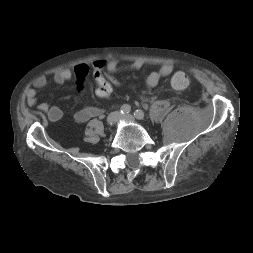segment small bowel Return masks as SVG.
I'll return each instance as SVG.
<instances>
[{
  "mask_svg": "<svg viewBox=\"0 0 253 253\" xmlns=\"http://www.w3.org/2000/svg\"><path fill=\"white\" fill-rule=\"evenodd\" d=\"M144 63L141 60H135L133 62L122 64L116 59H112L106 62L107 70L112 74H117L123 71L139 70L143 67ZM173 72V65L170 63L162 64L158 69L149 73L146 78V85L149 89L155 88L163 77L170 75ZM89 74V66L86 63H80L76 65L72 70L65 69L54 74L53 82L61 85L69 81L72 78L76 79L77 89L79 91L83 88V83ZM49 85V81L46 77H39L34 82V87L37 89L45 88ZM27 104L33 107L38 104L37 92L35 89H29L26 93ZM38 110L44 113L50 122H57L63 116V111L59 106L49 105L47 102H41L38 104ZM103 114L101 108L84 105L74 114V120L77 123H85L92 118L99 117Z\"/></svg>",
  "mask_w": 253,
  "mask_h": 253,
  "instance_id": "1",
  "label": "small bowel"
}]
</instances>
